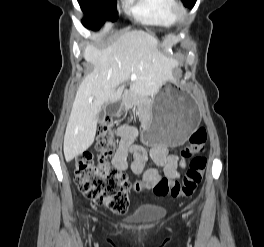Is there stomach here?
I'll use <instances>...</instances> for the list:
<instances>
[{
  "instance_id": "0dacf381",
  "label": "stomach",
  "mask_w": 264,
  "mask_h": 247,
  "mask_svg": "<svg viewBox=\"0 0 264 247\" xmlns=\"http://www.w3.org/2000/svg\"><path fill=\"white\" fill-rule=\"evenodd\" d=\"M199 120L197 105L186 90L174 82H165L150 103V119L142 137L150 145L180 147L182 142L189 141Z\"/></svg>"
}]
</instances>
